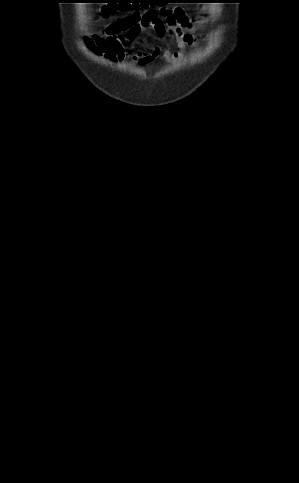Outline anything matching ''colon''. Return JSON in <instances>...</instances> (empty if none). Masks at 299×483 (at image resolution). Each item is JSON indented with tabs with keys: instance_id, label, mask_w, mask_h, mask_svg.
I'll return each instance as SVG.
<instances>
[{
	"instance_id": "5ec220e1",
	"label": "colon",
	"mask_w": 299,
	"mask_h": 483,
	"mask_svg": "<svg viewBox=\"0 0 299 483\" xmlns=\"http://www.w3.org/2000/svg\"><path fill=\"white\" fill-rule=\"evenodd\" d=\"M126 1L105 0L101 2L98 13L102 16H110L119 10L126 9L129 4Z\"/></svg>"
}]
</instances>
